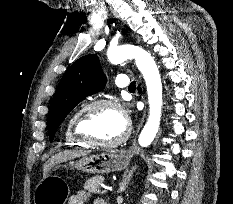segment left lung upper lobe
I'll list each match as a JSON object with an SVG mask.
<instances>
[{
	"label": "left lung upper lobe",
	"mask_w": 233,
	"mask_h": 204,
	"mask_svg": "<svg viewBox=\"0 0 233 204\" xmlns=\"http://www.w3.org/2000/svg\"><path fill=\"white\" fill-rule=\"evenodd\" d=\"M106 81L96 55L83 56L70 66L58 85L48 113L50 142L53 141L59 125L78 102L101 91Z\"/></svg>",
	"instance_id": "1"
}]
</instances>
